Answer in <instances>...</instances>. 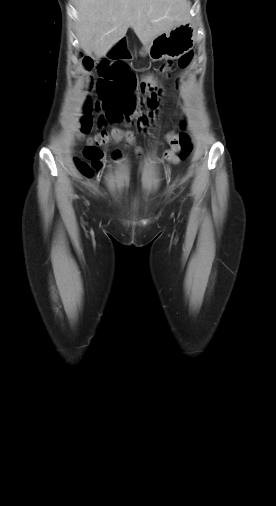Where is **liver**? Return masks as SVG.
Masks as SVG:
<instances>
[{
  "label": "liver",
  "instance_id": "1",
  "mask_svg": "<svg viewBox=\"0 0 276 506\" xmlns=\"http://www.w3.org/2000/svg\"><path fill=\"white\" fill-rule=\"evenodd\" d=\"M77 36L87 55L105 56L131 27L146 44L189 22L187 0H76Z\"/></svg>",
  "mask_w": 276,
  "mask_h": 506
}]
</instances>
